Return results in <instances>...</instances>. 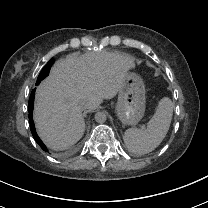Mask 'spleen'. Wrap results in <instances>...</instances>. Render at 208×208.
Segmentation results:
<instances>
[{"instance_id":"1","label":"spleen","mask_w":208,"mask_h":208,"mask_svg":"<svg viewBox=\"0 0 208 208\" xmlns=\"http://www.w3.org/2000/svg\"><path fill=\"white\" fill-rule=\"evenodd\" d=\"M173 116V103L168 97L159 101L155 114L146 129L130 128L123 135L127 149L143 155L152 152L165 138Z\"/></svg>"}]
</instances>
